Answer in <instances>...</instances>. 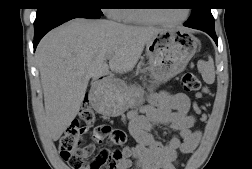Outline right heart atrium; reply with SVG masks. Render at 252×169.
<instances>
[{"instance_id":"obj_1","label":"right heart atrium","mask_w":252,"mask_h":169,"mask_svg":"<svg viewBox=\"0 0 252 169\" xmlns=\"http://www.w3.org/2000/svg\"><path fill=\"white\" fill-rule=\"evenodd\" d=\"M122 9H118V8H114V9H106V14L108 15V17H110L111 19L114 20H120V12Z\"/></svg>"}]
</instances>
